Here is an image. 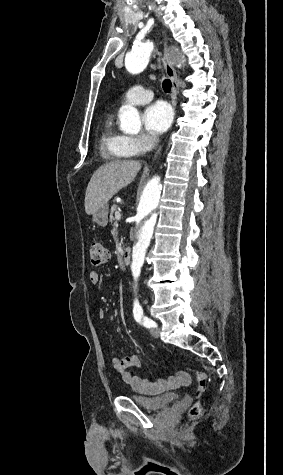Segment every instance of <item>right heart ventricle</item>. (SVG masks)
<instances>
[{"label": "right heart ventricle", "instance_id": "obj_1", "mask_svg": "<svg viewBox=\"0 0 283 475\" xmlns=\"http://www.w3.org/2000/svg\"><path fill=\"white\" fill-rule=\"evenodd\" d=\"M123 138L112 117L103 120L100 126V148L106 159L119 161L127 156L122 146Z\"/></svg>", "mask_w": 283, "mask_h": 475}]
</instances>
